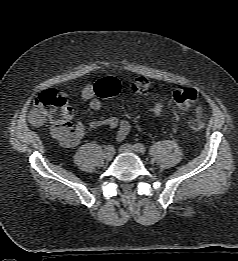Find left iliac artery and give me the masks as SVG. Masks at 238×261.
I'll return each mask as SVG.
<instances>
[{
    "instance_id": "1",
    "label": "left iliac artery",
    "mask_w": 238,
    "mask_h": 261,
    "mask_svg": "<svg viewBox=\"0 0 238 261\" xmlns=\"http://www.w3.org/2000/svg\"><path fill=\"white\" fill-rule=\"evenodd\" d=\"M134 147L137 150V152H139V153H145L146 152V147L141 143L134 144Z\"/></svg>"
}]
</instances>
